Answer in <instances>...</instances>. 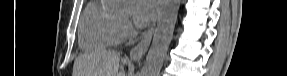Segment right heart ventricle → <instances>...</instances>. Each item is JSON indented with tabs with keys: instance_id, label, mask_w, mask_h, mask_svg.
Listing matches in <instances>:
<instances>
[{
	"instance_id": "right-heart-ventricle-1",
	"label": "right heart ventricle",
	"mask_w": 287,
	"mask_h": 76,
	"mask_svg": "<svg viewBox=\"0 0 287 76\" xmlns=\"http://www.w3.org/2000/svg\"><path fill=\"white\" fill-rule=\"evenodd\" d=\"M118 19L101 4L91 2L81 19L79 43L85 50H101L114 46Z\"/></svg>"
}]
</instances>
